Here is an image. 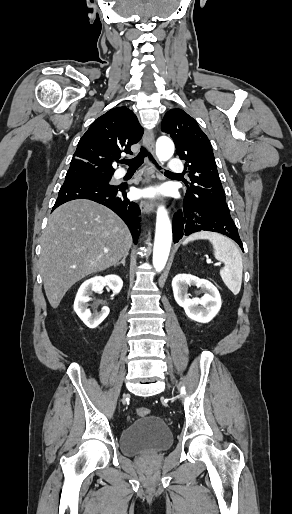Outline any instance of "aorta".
<instances>
[{
	"instance_id": "762f6f07",
	"label": "aorta",
	"mask_w": 292,
	"mask_h": 514,
	"mask_svg": "<svg viewBox=\"0 0 292 514\" xmlns=\"http://www.w3.org/2000/svg\"><path fill=\"white\" fill-rule=\"evenodd\" d=\"M174 154V144L170 138L161 136L156 144V156L160 162H167ZM172 242L171 222L164 206H159L156 218V234L153 250V266L156 272L165 268Z\"/></svg>"
}]
</instances>
